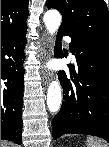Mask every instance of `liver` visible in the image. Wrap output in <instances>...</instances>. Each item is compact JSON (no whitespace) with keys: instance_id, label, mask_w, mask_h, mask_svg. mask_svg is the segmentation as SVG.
Listing matches in <instances>:
<instances>
[{"instance_id":"liver-1","label":"liver","mask_w":109,"mask_h":147,"mask_svg":"<svg viewBox=\"0 0 109 147\" xmlns=\"http://www.w3.org/2000/svg\"><path fill=\"white\" fill-rule=\"evenodd\" d=\"M1 145H2V147H11V146H12V143L7 142V141H3V142L1 143Z\"/></svg>"}]
</instances>
